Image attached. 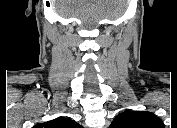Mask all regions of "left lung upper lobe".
I'll list each match as a JSON object with an SVG mask.
<instances>
[{
    "instance_id": "5c2ea615",
    "label": "left lung upper lobe",
    "mask_w": 177,
    "mask_h": 128,
    "mask_svg": "<svg viewBox=\"0 0 177 128\" xmlns=\"http://www.w3.org/2000/svg\"><path fill=\"white\" fill-rule=\"evenodd\" d=\"M162 121L151 112L124 111L118 114L110 128H162Z\"/></svg>"
}]
</instances>
